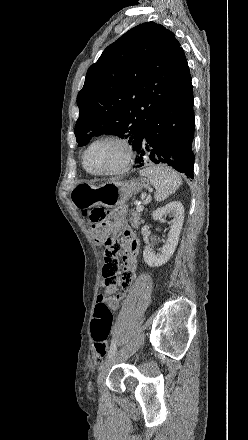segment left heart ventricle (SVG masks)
Instances as JSON below:
<instances>
[{"label":"left heart ventricle","instance_id":"left-heart-ventricle-1","mask_svg":"<svg viewBox=\"0 0 248 440\" xmlns=\"http://www.w3.org/2000/svg\"><path fill=\"white\" fill-rule=\"evenodd\" d=\"M124 158V150L116 142L103 141L94 145L87 155L90 170L101 172L120 166Z\"/></svg>","mask_w":248,"mask_h":440}]
</instances>
